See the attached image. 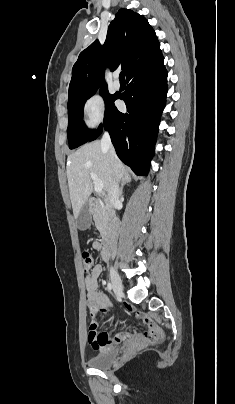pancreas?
<instances>
[{
  "mask_svg": "<svg viewBox=\"0 0 235 404\" xmlns=\"http://www.w3.org/2000/svg\"><path fill=\"white\" fill-rule=\"evenodd\" d=\"M95 225L100 233L103 235L106 228V219H107V212L104 208L98 207L94 211L93 215Z\"/></svg>",
  "mask_w": 235,
  "mask_h": 404,
  "instance_id": "obj_1",
  "label": "pancreas"
}]
</instances>
